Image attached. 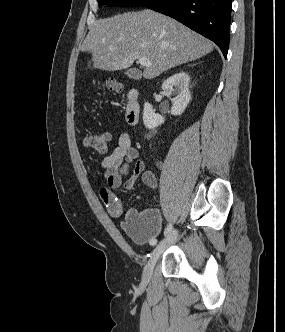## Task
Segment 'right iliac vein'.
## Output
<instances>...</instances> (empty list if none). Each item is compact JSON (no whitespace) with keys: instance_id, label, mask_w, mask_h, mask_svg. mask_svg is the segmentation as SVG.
Instances as JSON below:
<instances>
[{"instance_id":"right-iliac-vein-1","label":"right iliac vein","mask_w":285,"mask_h":332,"mask_svg":"<svg viewBox=\"0 0 285 332\" xmlns=\"http://www.w3.org/2000/svg\"><path fill=\"white\" fill-rule=\"evenodd\" d=\"M177 236H178V231L176 229L171 230L167 234V236L154 249L153 253L151 254V257L149 258L147 264L144 267L142 274L143 282H148L150 280L154 267L159 257L161 256L162 252L176 240Z\"/></svg>"}]
</instances>
